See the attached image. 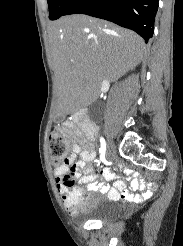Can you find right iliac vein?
Listing matches in <instances>:
<instances>
[{"instance_id": "obj_1", "label": "right iliac vein", "mask_w": 183, "mask_h": 246, "mask_svg": "<svg viewBox=\"0 0 183 246\" xmlns=\"http://www.w3.org/2000/svg\"><path fill=\"white\" fill-rule=\"evenodd\" d=\"M112 148V144L109 142L108 143V152H107V156L110 155V149Z\"/></svg>"}]
</instances>
